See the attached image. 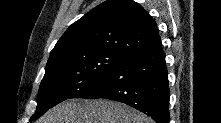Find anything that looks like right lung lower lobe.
Returning a JSON list of instances; mask_svg holds the SVG:
<instances>
[{"label": "right lung lower lobe", "mask_w": 221, "mask_h": 123, "mask_svg": "<svg viewBox=\"0 0 221 123\" xmlns=\"http://www.w3.org/2000/svg\"><path fill=\"white\" fill-rule=\"evenodd\" d=\"M169 97L165 53L159 46L128 54L86 99L122 102L151 116L157 123H168Z\"/></svg>", "instance_id": "obj_1"}]
</instances>
